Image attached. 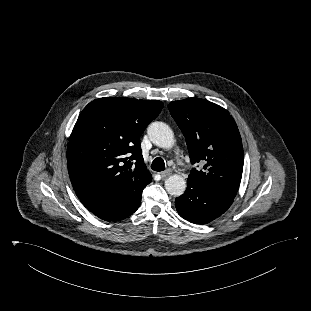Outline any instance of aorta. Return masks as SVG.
Returning <instances> with one entry per match:
<instances>
[{
	"label": "aorta",
	"mask_w": 311,
	"mask_h": 311,
	"mask_svg": "<svg viewBox=\"0 0 311 311\" xmlns=\"http://www.w3.org/2000/svg\"><path fill=\"white\" fill-rule=\"evenodd\" d=\"M147 133L151 142L158 147L167 149L175 143L172 130L163 122L151 123L148 126ZM165 189L172 196H181L186 190V181L180 175H171L165 181Z\"/></svg>",
	"instance_id": "762f6f07"
}]
</instances>
